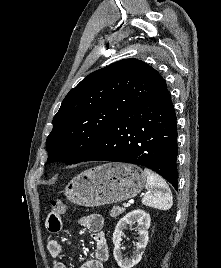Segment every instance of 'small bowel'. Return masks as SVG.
Wrapping results in <instances>:
<instances>
[{"label": "small bowel", "mask_w": 221, "mask_h": 268, "mask_svg": "<svg viewBox=\"0 0 221 268\" xmlns=\"http://www.w3.org/2000/svg\"><path fill=\"white\" fill-rule=\"evenodd\" d=\"M79 224L91 232V236L96 244L94 258L84 262L80 268H104L109 256V248L103 231V216L100 214H90L80 218ZM45 225L50 233H59L63 229L64 221L61 216H55L50 213ZM47 250L53 258V268H67L63 262L58 260L64 250L63 245L59 241L49 240Z\"/></svg>", "instance_id": "1"}]
</instances>
